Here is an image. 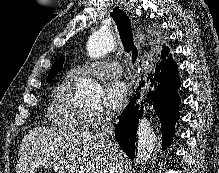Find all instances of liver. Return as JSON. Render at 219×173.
Wrapping results in <instances>:
<instances>
[{"label":"liver","mask_w":219,"mask_h":173,"mask_svg":"<svg viewBox=\"0 0 219 173\" xmlns=\"http://www.w3.org/2000/svg\"><path fill=\"white\" fill-rule=\"evenodd\" d=\"M16 173H34L40 166L59 173H121L123 152L111 161L108 144L97 134L35 128L22 139Z\"/></svg>","instance_id":"liver-1"}]
</instances>
